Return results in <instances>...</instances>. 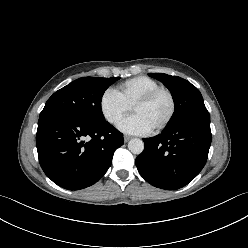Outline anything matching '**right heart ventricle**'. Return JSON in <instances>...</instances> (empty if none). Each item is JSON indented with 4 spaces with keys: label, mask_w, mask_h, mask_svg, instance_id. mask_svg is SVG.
Returning a JSON list of instances; mask_svg holds the SVG:
<instances>
[{
    "label": "right heart ventricle",
    "mask_w": 248,
    "mask_h": 248,
    "mask_svg": "<svg viewBox=\"0 0 248 248\" xmlns=\"http://www.w3.org/2000/svg\"><path fill=\"white\" fill-rule=\"evenodd\" d=\"M159 87L161 86L156 80L146 76H138L117 85L114 91L129 107H132L140 97Z\"/></svg>",
    "instance_id": "1"
}]
</instances>
